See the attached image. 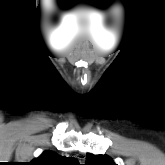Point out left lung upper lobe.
I'll use <instances>...</instances> for the list:
<instances>
[{"mask_svg":"<svg viewBox=\"0 0 165 165\" xmlns=\"http://www.w3.org/2000/svg\"><path fill=\"white\" fill-rule=\"evenodd\" d=\"M86 165H116V164L107 155H93L88 153Z\"/></svg>","mask_w":165,"mask_h":165,"instance_id":"left-lung-upper-lobe-1","label":"left lung upper lobe"}]
</instances>
